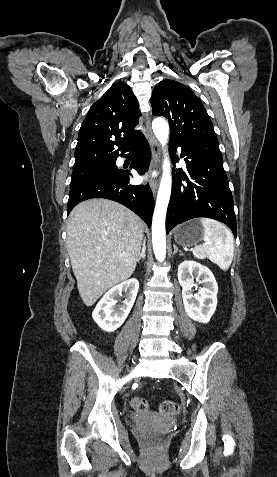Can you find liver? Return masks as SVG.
<instances>
[{
	"instance_id": "1",
	"label": "liver",
	"mask_w": 277,
	"mask_h": 477,
	"mask_svg": "<svg viewBox=\"0 0 277 477\" xmlns=\"http://www.w3.org/2000/svg\"><path fill=\"white\" fill-rule=\"evenodd\" d=\"M143 233V221L111 200H87L71 211L67 250L86 306L133 274Z\"/></svg>"
}]
</instances>
